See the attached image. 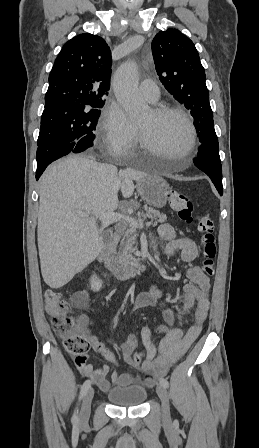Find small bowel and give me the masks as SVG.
Segmentation results:
<instances>
[{
    "label": "small bowel",
    "mask_w": 259,
    "mask_h": 448,
    "mask_svg": "<svg viewBox=\"0 0 259 448\" xmlns=\"http://www.w3.org/2000/svg\"><path fill=\"white\" fill-rule=\"evenodd\" d=\"M158 235L161 241L165 243V253L173 256L179 250L181 260L184 263L193 262L198 256V247L195 241L186 237H177L174 228L170 224H162L158 229ZM189 280L183 287L184 302L181 306L182 311L187 312L196 305L195 323L188 329L174 327V313L166 308L163 301V295L157 285H152L147 292L141 293L137 300L135 308L141 307H161L163 308L164 323L158 327V331L164 334L159 347L156 348L152 341V331L145 327L141 331V339L146 351V358L141 363H135L132 360V353L137 346V338L134 334H129L121 345V355L123 360L134 368L145 373L141 381L145 386H152L157 376L168 372L172 364L182 358L189 350L191 345L199 337L204 321L209 311L208 291L210 288L209 278L200 267L193 265L186 271ZM93 350L101 354L110 364L118 365L114 353L107 348L94 335L87 336ZM74 363L81 375L89 377L102 391L110 389L111 383L116 386L124 387L138 382L136 375L128 372L113 371L111 382L106 378L110 372V364L102 368H95L88 362L87 356H76Z\"/></svg>",
    "instance_id": "1"
}]
</instances>
